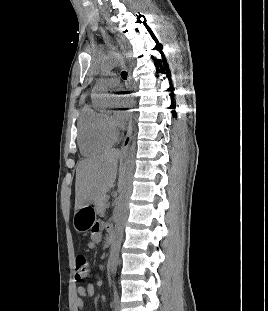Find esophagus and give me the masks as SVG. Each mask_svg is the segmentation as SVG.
Listing matches in <instances>:
<instances>
[{
    "label": "esophagus",
    "instance_id": "1",
    "mask_svg": "<svg viewBox=\"0 0 268 311\" xmlns=\"http://www.w3.org/2000/svg\"><path fill=\"white\" fill-rule=\"evenodd\" d=\"M127 81L129 83V86L131 89V72H130V70L128 71ZM132 131H133V120H132V118H130L129 124H128L127 134H126V137H125L123 144L121 146V149H120V154H122V155L126 154L128 148H129L131 138H132Z\"/></svg>",
    "mask_w": 268,
    "mask_h": 311
}]
</instances>
